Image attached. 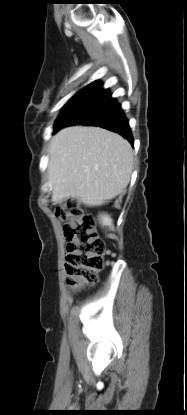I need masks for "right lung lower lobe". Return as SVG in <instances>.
<instances>
[{"label":"right lung lower lobe","mask_w":187,"mask_h":415,"mask_svg":"<svg viewBox=\"0 0 187 415\" xmlns=\"http://www.w3.org/2000/svg\"><path fill=\"white\" fill-rule=\"evenodd\" d=\"M94 125L114 131L133 145V137L121 105L99 82L80 90L55 122L54 132L71 125Z\"/></svg>","instance_id":"1"}]
</instances>
